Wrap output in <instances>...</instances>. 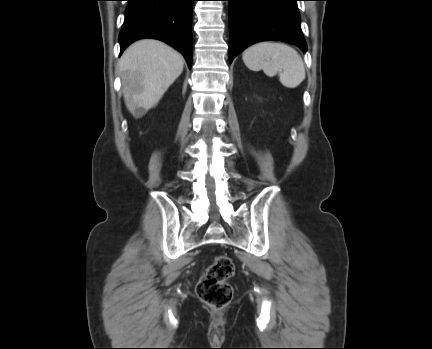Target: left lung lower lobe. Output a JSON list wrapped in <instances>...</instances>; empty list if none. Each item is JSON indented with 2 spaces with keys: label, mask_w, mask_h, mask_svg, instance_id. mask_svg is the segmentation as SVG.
Instances as JSON below:
<instances>
[{
  "label": "left lung lower lobe",
  "mask_w": 432,
  "mask_h": 349,
  "mask_svg": "<svg viewBox=\"0 0 432 349\" xmlns=\"http://www.w3.org/2000/svg\"><path fill=\"white\" fill-rule=\"evenodd\" d=\"M229 1L230 63L250 45L280 40L297 45L306 52L300 28L298 0H227Z\"/></svg>",
  "instance_id": "1"
}]
</instances>
